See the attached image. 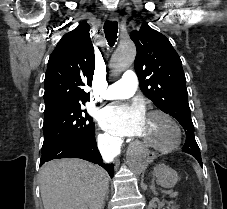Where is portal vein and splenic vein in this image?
Here are the masks:
<instances>
[{
    "mask_svg": "<svg viewBox=\"0 0 227 209\" xmlns=\"http://www.w3.org/2000/svg\"><path fill=\"white\" fill-rule=\"evenodd\" d=\"M162 194H169L168 196L170 197V198H175L177 195H176V191L174 192V193H171L172 191L170 190V189H162L161 191H160ZM171 193V194H170Z\"/></svg>",
    "mask_w": 227,
    "mask_h": 209,
    "instance_id": "18ae733b",
    "label": "portal vein and splenic vein"
}]
</instances>
